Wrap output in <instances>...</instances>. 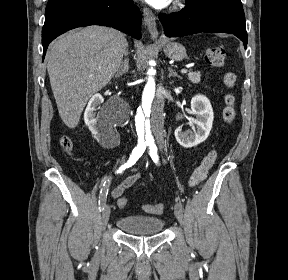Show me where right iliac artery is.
Listing matches in <instances>:
<instances>
[{"label": "right iliac artery", "instance_id": "obj_1", "mask_svg": "<svg viewBox=\"0 0 288 280\" xmlns=\"http://www.w3.org/2000/svg\"><path fill=\"white\" fill-rule=\"evenodd\" d=\"M146 145L144 142H140L132 151L129 160L127 161V163H125L124 165H122L117 171L116 173H121L123 172L126 168L131 167L132 165H134L136 163V161L139 159V157L142 156V154L144 153L145 149H146ZM109 186H110V180L105 181V183L103 184V187L100 191L99 194V210L102 211L105 204H106V200H107V195H108V191H109Z\"/></svg>", "mask_w": 288, "mask_h": 280}]
</instances>
